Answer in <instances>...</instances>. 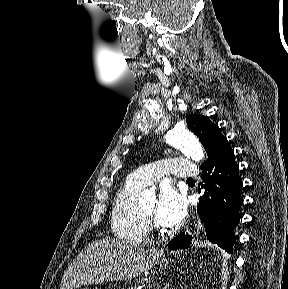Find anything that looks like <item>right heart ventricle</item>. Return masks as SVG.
Returning <instances> with one entry per match:
<instances>
[{
  "label": "right heart ventricle",
  "mask_w": 288,
  "mask_h": 289,
  "mask_svg": "<svg viewBox=\"0 0 288 289\" xmlns=\"http://www.w3.org/2000/svg\"><path fill=\"white\" fill-rule=\"evenodd\" d=\"M143 188L127 180L113 199L111 228L113 234L121 241L140 245L146 240L147 224L142 220L137 197Z\"/></svg>",
  "instance_id": "e07e8e85"
}]
</instances>
